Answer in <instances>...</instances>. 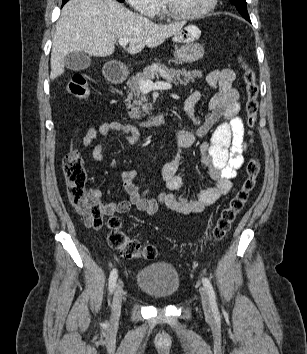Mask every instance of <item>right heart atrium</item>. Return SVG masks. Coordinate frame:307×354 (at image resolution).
<instances>
[{"instance_id":"obj_1","label":"right heart atrium","mask_w":307,"mask_h":354,"mask_svg":"<svg viewBox=\"0 0 307 354\" xmlns=\"http://www.w3.org/2000/svg\"><path fill=\"white\" fill-rule=\"evenodd\" d=\"M126 3L137 12L147 16H155L160 8V0H125Z\"/></svg>"}]
</instances>
